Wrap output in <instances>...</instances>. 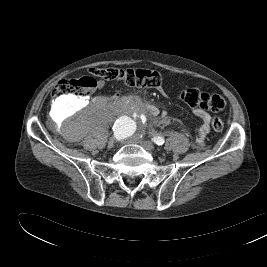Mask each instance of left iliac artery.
Instances as JSON below:
<instances>
[{"mask_svg": "<svg viewBox=\"0 0 267 267\" xmlns=\"http://www.w3.org/2000/svg\"><path fill=\"white\" fill-rule=\"evenodd\" d=\"M152 141L157 145H163L165 142L164 138L161 136H155Z\"/></svg>", "mask_w": 267, "mask_h": 267, "instance_id": "44dca946", "label": "left iliac artery"}]
</instances>
